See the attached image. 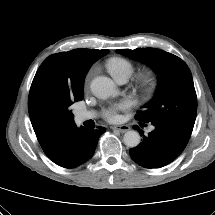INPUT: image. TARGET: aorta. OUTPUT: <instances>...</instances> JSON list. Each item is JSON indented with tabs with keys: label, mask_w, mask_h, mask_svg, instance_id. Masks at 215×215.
I'll return each instance as SVG.
<instances>
[{
	"label": "aorta",
	"mask_w": 215,
	"mask_h": 215,
	"mask_svg": "<svg viewBox=\"0 0 215 215\" xmlns=\"http://www.w3.org/2000/svg\"><path fill=\"white\" fill-rule=\"evenodd\" d=\"M93 95L100 99H106L116 94L114 82L108 78L99 76L92 80L90 85ZM124 144L130 148L137 147L140 143V135L137 131L130 130L124 134Z\"/></svg>",
	"instance_id": "aorta-1"
}]
</instances>
